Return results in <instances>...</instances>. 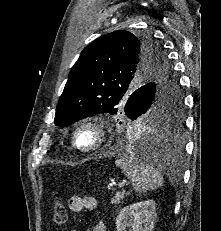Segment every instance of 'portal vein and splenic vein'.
<instances>
[{
  "instance_id": "1",
  "label": "portal vein and splenic vein",
  "mask_w": 221,
  "mask_h": 231,
  "mask_svg": "<svg viewBox=\"0 0 221 231\" xmlns=\"http://www.w3.org/2000/svg\"><path fill=\"white\" fill-rule=\"evenodd\" d=\"M125 186V183L122 182V183H119V188H123Z\"/></svg>"
}]
</instances>
